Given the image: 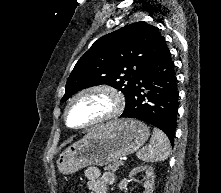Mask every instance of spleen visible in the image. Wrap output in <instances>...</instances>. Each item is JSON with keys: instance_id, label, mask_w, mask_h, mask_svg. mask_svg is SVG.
<instances>
[{"instance_id": "3e777b00", "label": "spleen", "mask_w": 221, "mask_h": 193, "mask_svg": "<svg viewBox=\"0 0 221 193\" xmlns=\"http://www.w3.org/2000/svg\"><path fill=\"white\" fill-rule=\"evenodd\" d=\"M170 151L167 136L161 130L154 128L150 144L138 151L137 157L143 162L164 161L169 157Z\"/></svg>"}]
</instances>
